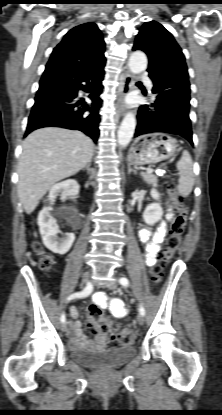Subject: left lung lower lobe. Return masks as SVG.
<instances>
[{"label":"left lung lower lobe","mask_w":222,"mask_h":415,"mask_svg":"<svg viewBox=\"0 0 222 415\" xmlns=\"http://www.w3.org/2000/svg\"><path fill=\"white\" fill-rule=\"evenodd\" d=\"M148 72L154 84L152 93L155 99L151 105L139 107L134 137L165 132L180 135L193 145L187 70L166 66Z\"/></svg>","instance_id":"1"}]
</instances>
